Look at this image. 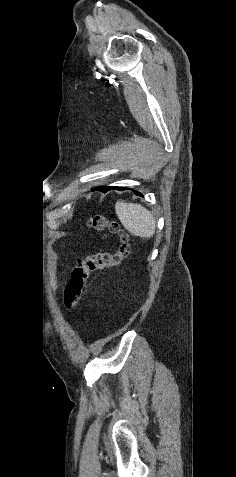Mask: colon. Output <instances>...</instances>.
<instances>
[{
  "label": "colon",
  "mask_w": 236,
  "mask_h": 477,
  "mask_svg": "<svg viewBox=\"0 0 236 477\" xmlns=\"http://www.w3.org/2000/svg\"><path fill=\"white\" fill-rule=\"evenodd\" d=\"M87 225L98 232L118 235L121 243L115 253L97 252L78 262L64 288V303L69 311L78 306L88 280L93 274L102 273L119 266L130 252L127 237L121 232V228L116 221L110 220L105 215L97 214L88 220Z\"/></svg>",
  "instance_id": "1"
}]
</instances>
